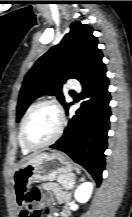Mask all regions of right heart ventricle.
Masks as SVG:
<instances>
[{
	"label": "right heart ventricle",
	"mask_w": 132,
	"mask_h": 217,
	"mask_svg": "<svg viewBox=\"0 0 132 217\" xmlns=\"http://www.w3.org/2000/svg\"><path fill=\"white\" fill-rule=\"evenodd\" d=\"M31 108H32V105H30V106L28 107V109L26 110V113H25V115H24L23 121H24L26 115L28 114V112L30 111ZM23 121H22V123H23ZM21 126H22V125H21ZM20 132H21V128H20V131H19V134H18V141H19V144H20V147H21L22 152L25 153V154H27V153H29L31 150L27 149V148L24 147V145L22 144L21 138H20Z\"/></svg>",
	"instance_id": "right-heart-ventricle-1"
}]
</instances>
